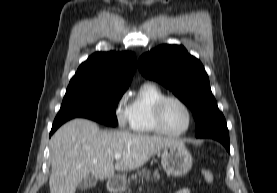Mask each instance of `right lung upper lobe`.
<instances>
[{
	"label": "right lung upper lobe",
	"instance_id": "right-lung-upper-lobe-1",
	"mask_svg": "<svg viewBox=\"0 0 277 193\" xmlns=\"http://www.w3.org/2000/svg\"><path fill=\"white\" fill-rule=\"evenodd\" d=\"M136 69L132 52H97L82 63L67 89L125 91Z\"/></svg>",
	"mask_w": 277,
	"mask_h": 193
}]
</instances>
